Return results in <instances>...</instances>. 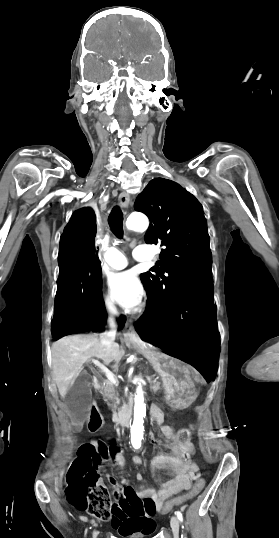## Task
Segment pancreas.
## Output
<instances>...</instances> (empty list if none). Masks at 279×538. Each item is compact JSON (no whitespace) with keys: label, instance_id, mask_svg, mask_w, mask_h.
<instances>
[{"label":"pancreas","instance_id":"obj_1","mask_svg":"<svg viewBox=\"0 0 279 538\" xmlns=\"http://www.w3.org/2000/svg\"><path fill=\"white\" fill-rule=\"evenodd\" d=\"M148 384L149 387H151L150 391H153L154 393L160 392V384H162V381H157L156 379H153L148 381ZM100 394H102L104 402H107L108 406H110L112 410H116V404H118L119 394L114 384H112L110 380H106L104 388H102Z\"/></svg>","mask_w":279,"mask_h":538}]
</instances>
